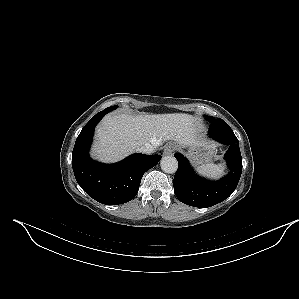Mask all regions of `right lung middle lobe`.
Segmentation results:
<instances>
[{
  "label": "right lung middle lobe",
  "mask_w": 299,
  "mask_h": 299,
  "mask_svg": "<svg viewBox=\"0 0 299 299\" xmlns=\"http://www.w3.org/2000/svg\"><path fill=\"white\" fill-rule=\"evenodd\" d=\"M118 106H112V107H108L109 109H111V110H114V109H116Z\"/></svg>",
  "instance_id": "obj_1"
}]
</instances>
